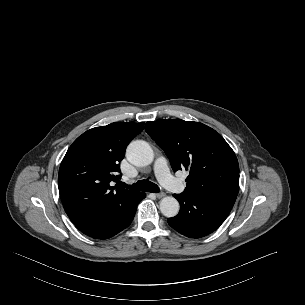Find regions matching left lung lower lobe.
Listing matches in <instances>:
<instances>
[{
	"instance_id": "1",
	"label": "left lung lower lobe",
	"mask_w": 305,
	"mask_h": 305,
	"mask_svg": "<svg viewBox=\"0 0 305 305\" xmlns=\"http://www.w3.org/2000/svg\"><path fill=\"white\" fill-rule=\"evenodd\" d=\"M180 203L179 213L169 218V225L179 233L200 238L215 231L231 211L233 195H173Z\"/></svg>"
}]
</instances>
